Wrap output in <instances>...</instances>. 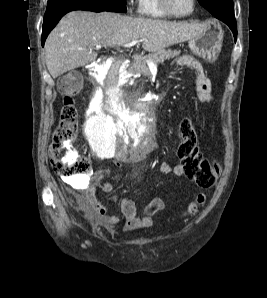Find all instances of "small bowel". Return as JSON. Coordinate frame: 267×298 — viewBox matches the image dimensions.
Wrapping results in <instances>:
<instances>
[{
	"label": "small bowel",
	"mask_w": 267,
	"mask_h": 298,
	"mask_svg": "<svg viewBox=\"0 0 267 298\" xmlns=\"http://www.w3.org/2000/svg\"><path fill=\"white\" fill-rule=\"evenodd\" d=\"M176 64L186 66L194 72V81L196 86V97L200 102L213 101L212 85L210 79L203 71L202 65L192 56L183 55L176 60ZM159 171L164 174L183 176L184 169L182 165H170L161 163ZM97 179L100 183V189L104 193H110L113 186L105 180V172L99 171ZM82 209L86 212L88 218L96 224L104 227L116 225L120 218L109 214L107 209L102 206L95 196L94 187H88L83 195L71 193ZM121 212L123 214L126 230H138L151 227L157 216L164 210L165 201L160 197L153 198L147 205L143 216H139L135 202L130 198H123L120 202Z\"/></svg>",
	"instance_id": "c3829d8e"
}]
</instances>
